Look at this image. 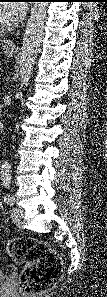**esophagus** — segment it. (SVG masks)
Listing matches in <instances>:
<instances>
[{"instance_id": "obj_1", "label": "esophagus", "mask_w": 107, "mask_h": 297, "mask_svg": "<svg viewBox=\"0 0 107 297\" xmlns=\"http://www.w3.org/2000/svg\"><path fill=\"white\" fill-rule=\"evenodd\" d=\"M20 33L17 32L16 36H18ZM7 48H14L15 47V44L13 41H10L9 43H7L6 45Z\"/></svg>"}]
</instances>
